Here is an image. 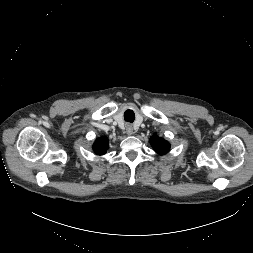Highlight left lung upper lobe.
Masks as SVG:
<instances>
[{
    "label": "left lung upper lobe",
    "mask_w": 253,
    "mask_h": 253,
    "mask_svg": "<svg viewBox=\"0 0 253 253\" xmlns=\"http://www.w3.org/2000/svg\"><path fill=\"white\" fill-rule=\"evenodd\" d=\"M150 143L153 147V149L158 153V154H165L170 150V144L164 140L163 138L158 137L156 134H154L150 138Z\"/></svg>",
    "instance_id": "left-lung-upper-lobe-1"
}]
</instances>
